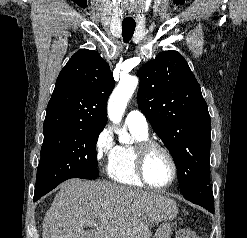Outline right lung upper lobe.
<instances>
[{"label":"right lung upper lobe","instance_id":"1","mask_svg":"<svg viewBox=\"0 0 247 238\" xmlns=\"http://www.w3.org/2000/svg\"><path fill=\"white\" fill-rule=\"evenodd\" d=\"M114 85L108 64L96 51H77L57 78L47 106L44 133L66 127H104L106 104Z\"/></svg>","mask_w":247,"mask_h":238}]
</instances>
